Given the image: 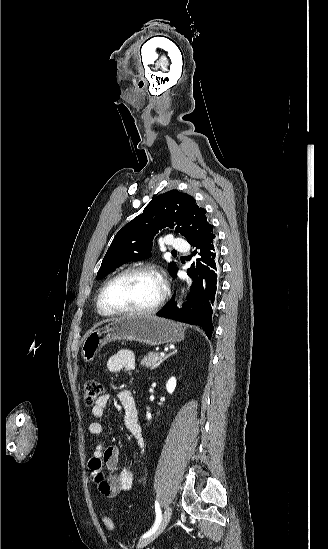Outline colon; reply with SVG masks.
<instances>
[{
  "label": "colon",
  "instance_id": "colon-1",
  "mask_svg": "<svg viewBox=\"0 0 328 549\" xmlns=\"http://www.w3.org/2000/svg\"><path fill=\"white\" fill-rule=\"evenodd\" d=\"M103 392V385L96 379H90L84 384V402L86 405H93ZM105 527L113 531L115 523L112 518L106 516L103 518Z\"/></svg>",
  "mask_w": 328,
  "mask_h": 549
}]
</instances>
